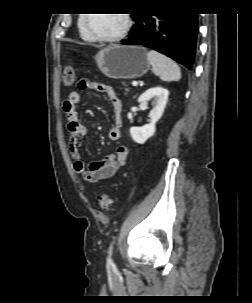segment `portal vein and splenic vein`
<instances>
[{"instance_id": "obj_1", "label": "portal vein and splenic vein", "mask_w": 252, "mask_h": 303, "mask_svg": "<svg viewBox=\"0 0 252 303\" xmlns=\"http://www.w3.org/2000/svg\"><path fill=\"white\" fill-rule=\"evenodd\" d=\"M138 85V82L137 81H133L132 82V86H137Z\"/></svg>"}]
</instances>
